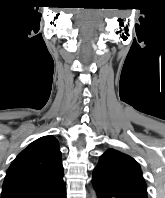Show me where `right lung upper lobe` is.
Here are the masks:
<instances>
[{"label": "right lung upper lobe", "mask_w": 165, "mask_h": 198, "mask_svg": "<svg viewBox=\"0 0 165 198\" xmlns=\"http://www.w3.org/2000/svg\"><path fill=\"white\" fill-rule=\"evenodd\" d=\"M64 189L58 141L53 136H44L14 159L1 198H55Z\"/></svg>", "instance_id": "1"}]
</instances>
